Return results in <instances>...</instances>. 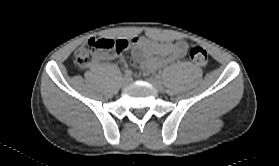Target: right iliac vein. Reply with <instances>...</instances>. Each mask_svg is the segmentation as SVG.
<instances>
[{"label":"right iliac vein","mask_w":279,"mask_h":166,"mask_svg":"<svg viewBox=\"0 0 279 166\" xmlns=\"http://www.w3.org/2000/svg\"><path fill=\"white\" fill-rule=\"evenodd\" d=\"M129 81H130L129 77H123L120 81V86L121 87H126L129 83Z\"/></svg>","instance_id":"obj_1"}]
</instances>
